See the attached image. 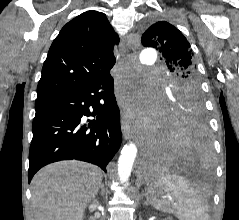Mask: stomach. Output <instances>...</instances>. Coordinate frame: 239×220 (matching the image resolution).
Wrapping results in <instances>:
<instances>
[{
	"instance_id": "1",
	"label": "stomach",
	"mask_w": 239,
	"mask_h": 220,
	"mask_svg": "<svg viewBox=\"0 0 239 220\" xmlns=\"http://www.w3.org/2000/svg\"><path fill=\"white\" fill-rule=\"evenodd\" d=\"M148 192L151 194V195H161L163 194L164 192V189L163 188H160V187H153V186H149L148 187Z\"/></svg>"
}]
</instances>
